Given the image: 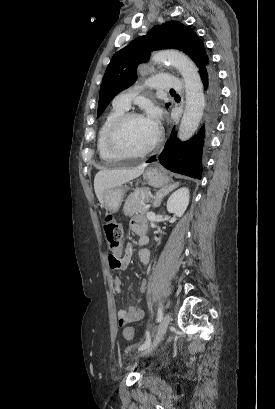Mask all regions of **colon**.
I'll list each match as a JSON object with an SVG mask.
<instances>
[{
  "mask_svg": "<svg viewBox=\"0 0 275 409\" xmlns=\"http://www.w3.org/2000/svg\"><path fill=\"white\" fill-rule=\"evenodd\" d=\"M103 230L110 251L114 257H122L121 238L122 231L120 223L113 219L112 216L105 217L103 221ZM124 338L127 341H132L134 338V328L125 326L123 330Z\"/></svg>",
  "mask_w": 275,
  "mask_h": 409,
  "instance_id": "colon-1",
  "label": "colon"
}]
</instances>
